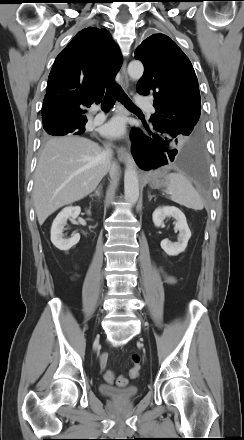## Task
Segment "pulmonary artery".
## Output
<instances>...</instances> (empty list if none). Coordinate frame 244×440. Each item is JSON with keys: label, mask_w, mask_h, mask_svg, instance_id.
<instances>
[{"label": "pulmonary artery", "mask_w": 244, "mask_h": 440, "mask_svg": "<svg viewBox=\"0 0 244 440\" xmlns=\"http://www.w3.org/2000/svg\"><path fill=\"white\" fill-rule=\"evenodd\" d=\"M136 104L138 106L146 109L149 113L154 112V107L147 97L138 95L136 98ZM104 118H105V115L103 113H99L95 116V121L101 122Z\"/></svg>", "instance_id": "pulmonary-artery-1"}]
</instances>
